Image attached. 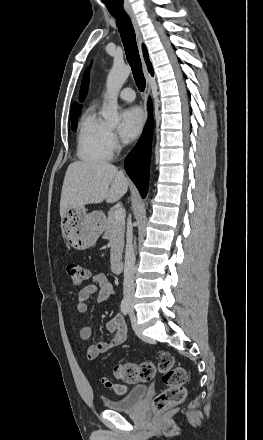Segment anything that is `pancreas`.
<instances>
[{"mask_svg": "<svg viewBox=\"0 0 263 440\" xmlns=\"http://www.w3.org/2000/svg\"><path fill=\"white\" fill-rule=\"evenodd\" d=\"M115 210L108 212V217L104 224V238L109 240L111 247L110 261L116 262L121 258L124 247L125 219L117 221L114 217Z\"/></svg>", "mask_w": 263, "mask_h": 440, "instance_id": "pancreas-1", "label": "pancreas"}]
</instances>
